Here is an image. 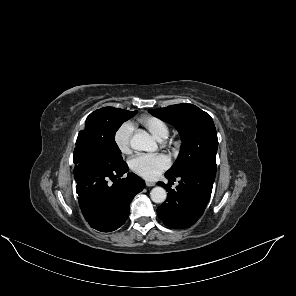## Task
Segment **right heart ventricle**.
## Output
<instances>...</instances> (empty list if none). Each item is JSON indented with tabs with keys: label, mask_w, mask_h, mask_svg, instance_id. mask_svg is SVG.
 <instances>
[{
	"label": "right heart ventricle",
	"mask_w": 296,
	"mask_h": 296,
	"mask_svg": "<svg viewBox=\"0 0 296 296\" xmlns=\"http://www.w3.org/2000/svg\"><path fill=\"white\" fill-rule=\"evenodd\" d=\"M138 122L159 141L166 139L169 135L168 123L159 117L146 115L139 118Z\"/></svg>",
	"instance_id": "right-heart-ventricle-1"
}]
</instances>
